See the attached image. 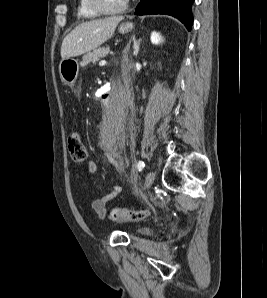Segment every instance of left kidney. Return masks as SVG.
<instances>
[{"mask_svg": "<svg viewBox=\"0 0 267 298\" xmlns=\"http://www.w3.org/2000/svg\"><path fill=\"white\" fill-rule=\"evenodd\" d=\"M163 37L160 35V33L156 32V31H153L152 34H151V42L152 44H155V45H159L163 42Z\"/></svg>", "mask_w": 267, "mask_h": 298, "instance_id": "left-kidney-1", "label": "left kidney"}]
</instances>
